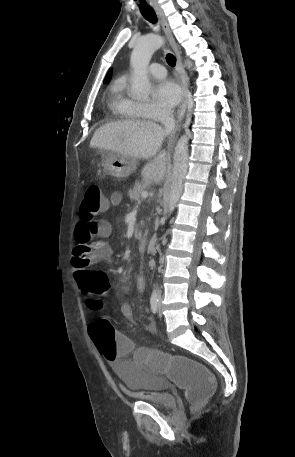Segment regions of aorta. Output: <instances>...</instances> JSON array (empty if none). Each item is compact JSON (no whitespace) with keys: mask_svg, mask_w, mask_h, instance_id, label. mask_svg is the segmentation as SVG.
<instances>
[{"mask_svg":"<svg viewBox=\"0 0 295 457\" xmlns=\"http://www.w3.org/2000/svg\"><path fill=\"white\" fill-rule=\"evenodd\" d=\"M163 45V38L151 34L140 38L135 44L130 56V64L133 68L132 93L139 99H145L151 91V84L148 78V65L156 50ZM188 68L192 67L190 61H186ZM189 145L188 136L183 135L178 140L173 155V170L170 184L168 202L169 215L174 211L184 188V181L188 169Z\"/></svg>","mask_w":295,"mask_h":457,"instance_id":"762f6f07","label":"aorta"}]
</instances>
